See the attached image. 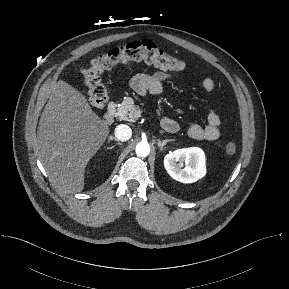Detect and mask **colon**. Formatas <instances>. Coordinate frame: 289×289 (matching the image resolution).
<instances>
[{"instance_id":"5ec220e1","label":"colon","mask_w":289,"mask_h":289,"mask_svg":"<svg viewBox=\"0 0 289 289\" xmlns=\"http://www.w3.org/2000/svg\"><path fill=\"white\" fill-rule=\"evenodd\" d=\"M130 61H145L162 70L174 72H180L185 67L181 59L164 51L150 40L131 41L113 48L94 58L89 66L81 71L84 84L88 89L89 102L93 107H104L108 99L107 90L101 81V74ZM236 150L237 147L233 142L225 146V152L228 155H233Z\"/></svg>"}]
</instances>
